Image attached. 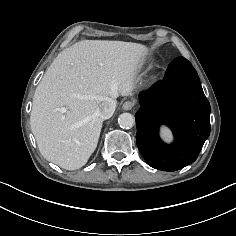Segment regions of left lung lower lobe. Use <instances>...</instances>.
<instances>
[{"mask_svg": "<svg viewBox=\"0 0 236 236\" xmlns=\"http://www.w3.org/2000/svg\"><path fill=\"white\" fill-rule=\"evenodd\" d=\"M139 100L136 142L146 162L163 171L194 162L210 134V104L191 63L184 57L174 59L164 79L140 93ZM161 124L172 129L173 144L160 140Z\"/></svg>", "mask_w": 236, "mask_h": 236, "instance_id": "obj_1", "label": "left lung lower lobe"}]
</instances>
